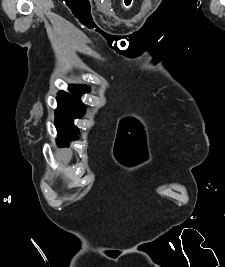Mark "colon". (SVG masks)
I'll return each instance as SVG.
<instances>
[{"instance_id": "obj_1", "label": "colon", "mask_w": 225, "mask_h": 267, "mask_svg": "<svg viewBox=\"0 0 225 267\" xmlns=\"http://www.w3.org/2000/svg\"><path fill=\"white\" fill-rule=\"evenodd\" d=\"M124 5L126 8H129L130 7V4H131V0H124Z\"/></svg>"}]
</instances>
